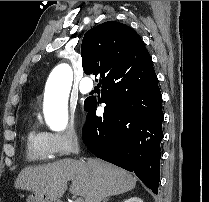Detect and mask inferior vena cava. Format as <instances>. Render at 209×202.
<instances>
[{"label": "inferior vena cava", "mask_w": 209, "mask_h": 202, "mask_svg": "<svg viewBox=\"0 0 209 202\" xmlns=\"http://www.w3.org/2000/svg\"><path fill=\"white\" fill-rule=\"evenodd\" d=\"M75 154H78L79 153V147L77 146L76 148H75Z\"/></svg>", "instance_id": "obj_1"}]
</instances>
